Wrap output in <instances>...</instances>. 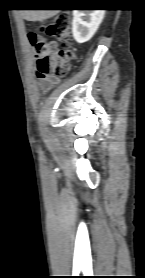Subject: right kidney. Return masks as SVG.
I'll return each mask as SVG.
<instances>
[{
	"mask_svg": "<svg viewBox=\"0 0 145 278\" xmlns=\"http://www.w3.org/2000/svg\"><path fill=\"white\" fill-rule=\"evenodd\" d=\"M105 10H73L72 33L78 43L89 41L104 18Z\"/></svg>",
	"mask_w": 145,
	"mask_h": 278,
	"instance_id": "right-kidney-1",
	"label": "right kidney"
}]
</instances>
